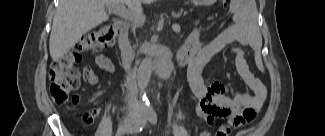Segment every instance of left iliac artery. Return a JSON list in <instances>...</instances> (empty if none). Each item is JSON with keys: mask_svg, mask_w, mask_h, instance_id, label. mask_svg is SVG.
I'll return each mask as SVG.
<instances>
[{"mask_svg": "<svg viewBox=\"0 0 325 136\" xmlns=\"http://www.w3.org/2000/svg\"><path fill=\"white\" fill-rule=\"evenodd\" d=\"M147 117H148V120L150 121V123L156 124L157 115H156V113L154 111L150 112Z\"/></svg>", "mask_w": 325, "mask_h": 136, "instance_id": "left-iliac-artery-1", "label": "left iliac artery"}]
</instances>
